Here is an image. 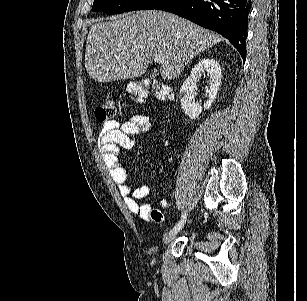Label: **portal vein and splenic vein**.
Listing matches in <instances>:
<instances>
[{"label":"portal vein and splenic vein","instance_id":"portal-vein-and-splenic-vein-1","mask_svg":"<svg viewBox=\"0 0 307 301\" xmlns=\"http://www.w3.org/2000/svg\"><path fill=\"white\" fill-rule=\"evenodd\" d=\"M154 60H155V62H159V64H163V62H164V58H163V56H161V54H155Z\"/></svg>","mask_w":307,"mask_h":301}]
</instances>
